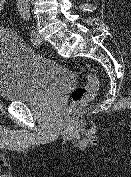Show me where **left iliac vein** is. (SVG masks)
<instances>
[{"label": "left iliac vein", "instance_id": "1", "mask_svg": "<svg viewBox=\"0 0 131 177\" xmlns=\"http://www.w3.org/2000/svg\"><path fill=\"white\" fill-rule=\"evenodd\" d=\"M37 37V45H40L42 43V37L40 36V34L37 31H34Z\"/></svg>", "mask_w": 131, "mask_h": 177}]
</instances>
